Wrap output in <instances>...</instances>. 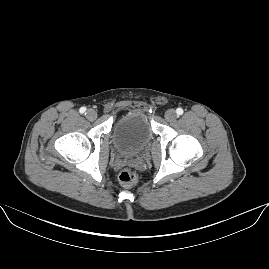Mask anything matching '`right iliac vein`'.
I'll use <instances>...</instances> for the list:
<instances>
[{
    "label": "right iliac vein",
    "mask_w": 269,
    "mask_h": 269,
    "mask_svg": "<svg viewBox=\"0 0 269 269\" xmlns=\"http://www.w3.org/2000/svg\"><path fill=\"white\" fill-rule=\"evenodd\" d=\"M86 117L91 121L95 120L97 118V112L93 109H88L86 112Z\"/></svg>",
    "instance_id": "obj_1"
}]
</instances>
